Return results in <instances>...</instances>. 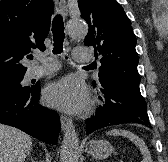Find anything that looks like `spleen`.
<instances>
[{"instance_id":"spleen-1","label":"spleen","mask_w":168,"mask_h":162,"mask_svg":"<svg viewBox=\"0 0 168 162\" xmlns=\"http://www.w3.org/2000/svg\"><path fill=\"white\" fill-rule=\"evenodd\" d=\"M111 136H123L132 141L136 146L139 147L141 154L143 155V160L141 162H153L151 158V154L145 145L144 141L140 139L137 135L131 133L126 130L112 129L106 133Z\"/></svg>"}]
</instances>
